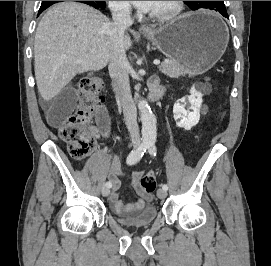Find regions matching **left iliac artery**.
<instances>
[{"label": "left iliac artery", "instance_id": "1", "mask_svg": "<svg viewBox=\"0 0 271 266\" xmlns=\"http://www.w3.org/2000/svg\"><path fill=\"white\" fill-rule=\"evenodd\" d=\"M148 151H149V153L151 155H154V156L156 155L155 141H153V140L149 141V143H148ZM161 186H162V189H164L166 191L168 190L167 184H162Z\"/></svg>", "mask_w": 271, "mask_h": 266}]
</instances>
